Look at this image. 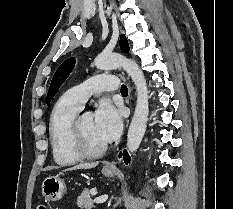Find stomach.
Masks as SVG:
<instances>
[{
    "label": "stomach",
    "mask_w": 233,
    "mask_h": 209,
    "mask_svg": "<svg viewBox=\"0 0 233 209\" xmlns=\"http://www.w3.org/2000/svg\"><path fill=\"white\" fill-rule=\"evenodd\" d=\"M102 173L106 177H113L115 175V170L103 169ZM41 190L46 200L55 202L64 196L67 188L62 178L59 176H49L42 182Z\"/></svg>",
    "instance_id": "obj_1"
}]
</instances>
